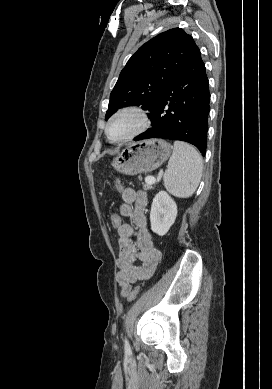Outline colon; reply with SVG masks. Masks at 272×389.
<instances>
[{"label":"colon","instance_id":"colon-1","mask_svg":"<svg viewBox=\"0 0 272 389\" xmlns=\"http://www.w3.org/2000/svg\"><path fill=\"white\" fill-rule=\"evenodd\" d=\"M119 186V184H118ZM110 223L112 225L113 228L115 229H119V227L122 225V218L120 216V214L118 213H112L111 216H110ZM139 287L136 286L134 287L132 290H130V292L128 293L127 295V299L129 301H133L137 298L138 294H139Z\"/></svg>","mask_w":272,"mask_h":389}]
</instances>
